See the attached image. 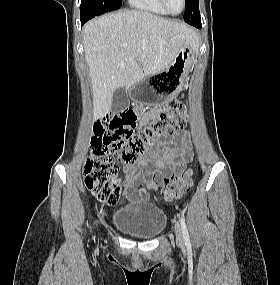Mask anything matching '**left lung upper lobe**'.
<instances>
[{"label":"left lung upper lobe","instance_id":"1","mask_svg":"<svg viewBox=\"0 0 280 285\" xmlns=\"http://www.w3.org/2000/svg\"><path fill=\"white\" fill-rule=\"evenodd\" d=\"M184 20L190 25L201 23L198 0H186Z\"/></svg>","mask_w":280,"mask_h":285}]
</instances>
